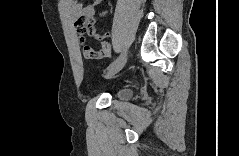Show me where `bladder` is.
Segmentation results:
<instances>
[{"instance_id":"bladder-1","label":"bladder","mask_w":239,"mask_h":156,"mask_svg":"<svg viewBox=\"0 0 239 156\" xmlns=\"http://www.w3.org/2000/svg\"><path fill=\"white\" fill-rule=\"evenodd\" d=\"M114 96L121 101L129 100L132 96V90L129 88H119L115 91Z\"/></svg>"}]
</instances>
